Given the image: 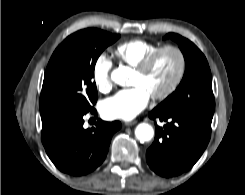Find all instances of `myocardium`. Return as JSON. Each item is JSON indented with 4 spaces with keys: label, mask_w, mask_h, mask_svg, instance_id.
<instances>
[{
    "label": "myocardium",
    "mask_w": 245,
    "mask_h": 195,
    "mask_svg": "<svg viewBox=\"0 0 245 195\" xmlns=\"http://www.w3.org/2000/svg\"><path fill=\"white\" fill-rule=\"evenodd\" d=\"M165 51H172L176 54L178 58V68L171 83L163 91L151 95V97L155 100H162L169 97L181 83L186 68V59L184 52L178 46L164 45L149 54L139 65L135 67V71L140 74L147 72L153 65L155 60L158 58V56Z\"/></svg>",
    "instance_id": "obj_1"
}]
</instances>
